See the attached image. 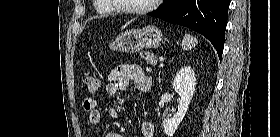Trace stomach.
Segmentation results:
<instances>
[{"label": "stomach", "mask_w": 280, "mask_h": 137, "mask_svg": "<svg viewBox=\"0 0 280 137\" xmlns=\"http://www.w3.org/2000/svg\"><path fill=\"white\" fill-rule=\"evenodd\" d=\"M162 42V31L154 25H148L141 29H130L121 33L109 44V48L112 51L136 53L145 48H157Z\"/></svg>", "instance_id": "stomach-1"}]
</instances>
